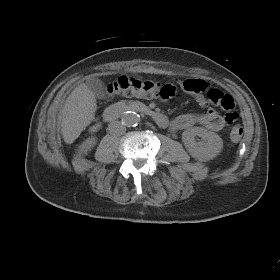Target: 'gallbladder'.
<instances>
[{
    "instance_id": "obj_1",
    "label": "gallbladder",
    "mask_w": 280,
    "mask_h": 280,
    "mask_svg": "<svg viewBox=\"0 0 280 280\" xmlns=\"http://www.w3.org/2000/svg\"><path fill=\"white\" fill-rule=\"evenodd\" d=\"M87 87L94 93V95L99 98H105L106 92L104 89V83L98 78H90L87 83Z\"/></svg>"
}]
</instances>
